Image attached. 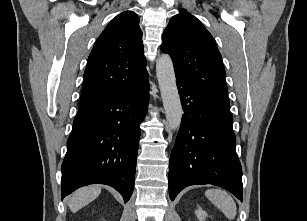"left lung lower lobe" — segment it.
Returning <instances> with one entry per match:
<instances>
[{"mask_svg":"<svg viewBox=\"0 0 307 221\" xmlns=\"http://www.w3.org/2000/svg\"><path fill=\"white\" fill-rule=\"evenodd\" d=\"M184 114L169 165V196L185 187L212 184L242 198V169L236 154L229 107L195 90L176 75Z\"/></svg>","mask_w":307,"mask_h":221,"instance_id":"0a47b994","label":"left lung lower lobe"}]
</instances>
